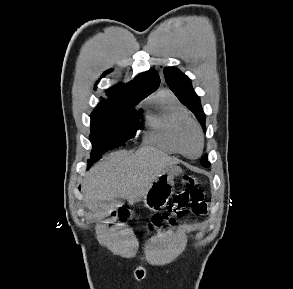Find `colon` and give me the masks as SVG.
I'll return each mask as SVG.
<instances>
[{"instance_id":"1","label":"colon","mask_w":293,"mask_h":289,"mask_svg":"<svg viewBox=\"0 0 293 289\" xmlns=\"http://www.w3.org/2000/svg\"><path fill=\"white\" fill-rule=\"evenodd\" d=\"M183 183L186 186L175 193L172 203L168 205L166 211L155 214L148 223L149 228H164L175 223L177 217L183 216L186 212L196 215L207 213V204L204 201V194L198 185V181L185 176ZM125 213H120V218H124Z\"/></svg>"}]
</instances>
